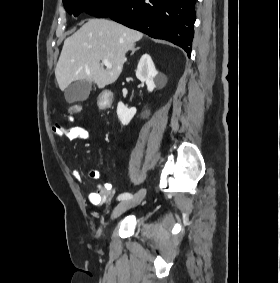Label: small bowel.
Segmentation results:
<instances>
[{
  "label": "small bowel",
  "mask_w": 280,
  "mask_h": 283,
  "mask_svg": "<svg viewBox=\"0 0 280 283\" xmlns=\"http://www.w3.org/2000/svg\"><path fill=\"white\" fill-rule=\"evenodd\" d=\"M63 115L67 116L69 119L72 118V116L69 115V111L64 112ZM52 134L57 138H66L70 141L86 140L88 138V131L84 127L71 126L64 128L58 123L53 125ZM71 173L73 177L77 179L81 177V172L78 169H73ZM87 176L89 179L97 181L101 178V172L97 169H92L88 171ZM112 191L113 183L111 181H107L103 184L98 183L95 190L89 194L88 200L94 206H101L109 198Z\"/></svg>",
  "instance_id": "1"
}]
</instances>
